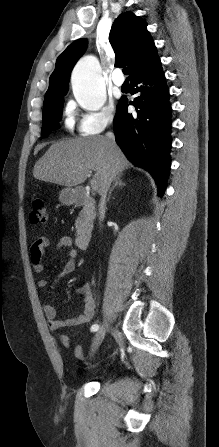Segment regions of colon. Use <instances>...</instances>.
Segmentation results:
<instances>
[{
    "label": "colon",
    "instance_id": "5ec220e1",
    "mask_svg": "<svg viewBox=\"0 0 219 447\" xmlns=\"http://www.w3.org/2000/svg\"><path fill=\"white\" fill-rule=\"evenodd\" d=\"M29 220L32 224H43L47 220V212L45 200L43 198H35L29 213Z\"/></svg>",
    "mask_w": 219,
    "mask_h": 447
}]
</instances>
